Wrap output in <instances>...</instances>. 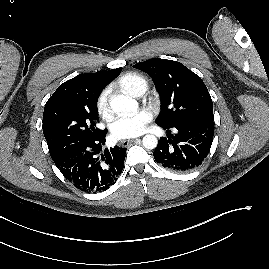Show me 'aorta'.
Segmentation results:
<instances>
[{"label": "aorta", "mask_w": 269, "mask_h": 269, "mask_svg": "<svg viewBox=\"0 0 269 269\" xmlns=\"http://www.w3.org/2000/svg\"><path fill=\"white\" fill-rule=\"evenodd\" d=\"M110 106L114 112L127 116L137 111L138 103L129 96L117 95L110 100ZM142 143L146 149H154L158 140L154 135L148 134L143 137Z\"/></svg>", "instance_id": "aorta-1"}]
</instances>
